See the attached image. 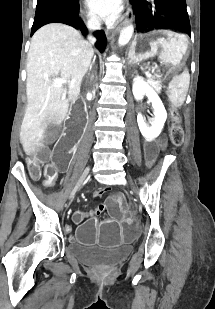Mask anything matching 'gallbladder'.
<instances>
[{"mask_svg":"<svg viewBox=\"0 0 215 309\" xmlns=\"http://www.w3.org/2000/svg\"><path fill=\"white\" fill-rule=\"evenodd\" d=\"M49 130H57V127H49ZM54 134H57V131H54ZM47 143L48 144H53L54 143V138L53 137H48L47 138Z\"/></svg>","mask_w":215,"mask_h":309,"instance_id":"gallbladder-1","label":"gallbladder"}]
</instances>
